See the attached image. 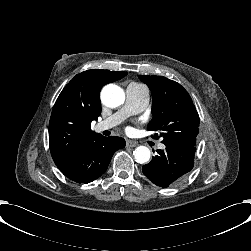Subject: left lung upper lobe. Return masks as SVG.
<instances>
[{"label":"left lung upper lobe","mask_w":251,"mask_h":251,"mask_svg":"<svg viewBox=\"0 0 251 251\" xmlns=\"http://www.w3.org/2000/svg\"><path fill=\"white\" fill-rule=\"evenodd\" d=\"M139 78L148 85L153 97V119L147 129L159 132L166 146H196L199 115L188 92L163 76L139 75Z\"/></svg>","instance_id":"5c2ea615"}]
</instances>
